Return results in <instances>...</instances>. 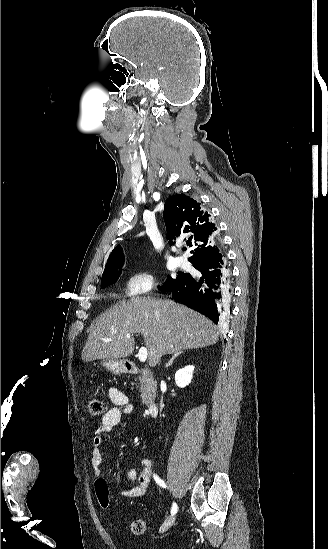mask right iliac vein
I'll return each instance as SVG.
<instances>
[{
  "label": "right iliac vein",
  "mask_w": 328,
  "mask_h": 549,
  "mask_svg": "<svg viewBox=\"0 0 328 549\" xmlns=\"http://www.w3.org/2000/svg\"><path fill=\"white\" fill-rule=\"evenodd\" d=\"M174 521H175V516H172L166 519L163 525L160 527L159 532L160 533L166 532L173 525Z\"/></svg>",
  "instance_id": "obj_1"
}]
</instances>
